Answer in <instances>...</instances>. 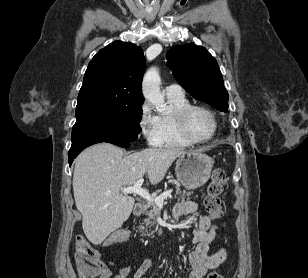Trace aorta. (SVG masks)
Listing matches in <instances>:
<instances>
[{
  "instance_id": "762f6f07",
  "label": "aorta",
  "mask_w": 308,
  "mask_h": 278,
  "mask_svg": "<svg viewBox=\"0 0 308 278\" xmlns=\"http://www.w3.org/2000/svg\"><path fill=\"white\" fill-rule=\"evenodd\" d=\"M161 79L157 68H150L144 75L142 92L144 97L153 104L159 112L167 109L164 95L160 91Z\"/></svg>"
}]
</instances>
